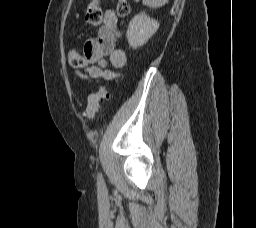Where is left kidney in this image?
Instances as JSON below:
<instances>
[{
  "label": "left kidney",
  "instance_id": "5707ae66",
  "mask_svg": "<svg viewBox=\"0 0 256 228\" xmlns=\"http://www.w3.org/2000/svg\"><path fill=\"white\" fill-rule=\"evenodd\" d=\"M159 23L145 13L135 15L130 21L126 37L133 49L143 46L155 34Z\"/></svg>",
  "mask_w": 256,
  "mask_h": 228
}]
</instances>
